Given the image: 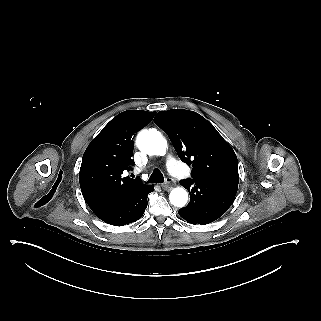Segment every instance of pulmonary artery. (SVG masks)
<instances>
[{
  "label": "pulmonary artery",
  "mask_w": 321,
  "mask_h": 321,
  "mask_svg": "<svg viewBox=\"0 0 321 321\" xmlns=\"http://www.w3.org/2000/svg\"><path fill=\"white\" fill-rule=\"evenodd\" d=\"M165 164L168 167L169 171L174 173L177 179L184 180L187 178L188 171L185 167L181 166L176 156L174 155L167 156L165 159Z\"/></svg>",
  "instance_id": "pulmonary-artery-1"
}]
</instances>
